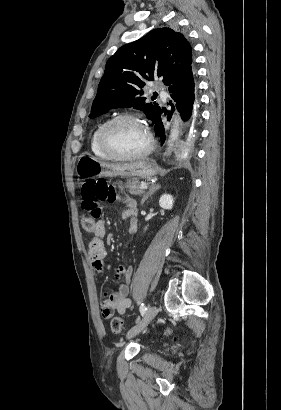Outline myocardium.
<instances>
[{"label":"myocardium","mask_w":281,"mask_h":410,"mask_svg":"<svg viewBox=\"0 0 281 410\" xmlns=\"http://www.w3.org/2000/svg\"><path fill=\"white\" fill-rule=\"evenodd\" d=\"M122 120L135 121L144 127L147 133V136H148V144L142 151L133 153V154H123V153L116 151L114 148L110 146L108 142V133L110 129L117 122L122 121ZM98 141H99V146L101 150L106 155H108L111 159H115V160H134V159L143 158L152 152V150L154 149V145H155L153 135L151 131L149 130L147 124L140 117L132 113H120L118 115H115L111 119L107 120L99 132Z\"/></svg>","instance_id":"obj_1"}]
</instances>
